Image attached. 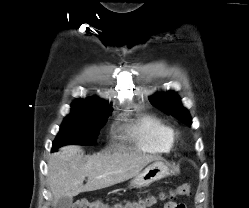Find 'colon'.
Returning <instances> with one entry per match:
<instances>
[{"instance_id": "colon-1", "label": "colon", "mask_w": 249, "mask_h": 208, "mask_svg": "<svg viewBox=\"0 0 249 208\" xmlns=\"http://www.w3.org/2000/svg\"><path fill=\"white\" fill-rule=\"evenodd\" d=\"M190 194V185L183 184L177 187L173 193V196H184ZM157 202V199L154 196H148L144 198H140L137 200H129L124 203L116 202V203H105L103 201H89V200H79L77 201L72 208H150ZM180 208H185L184 204H180Z\"/></svg>"}]
</instances>
